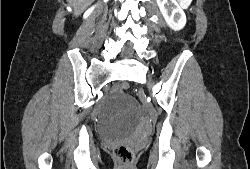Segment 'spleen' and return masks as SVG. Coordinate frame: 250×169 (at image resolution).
I'll list each match as a JSON object with an SVG mask.
<instances>
[{
    "instance_id": "3e777b00",
    "label": "spleen",
    "mask_w": 250,
    "mask_h": 169,
    "mask_svg": "<svg viewBox=\"0 0 250 169\" xmlns=\"http://www.w3.org/2000/svg\"><path fill=\"white\" fill-rule=\"evenodd\" d=\"M187 2H189V0H184V4H187Z\"/></svg>"
}]
</instances>
